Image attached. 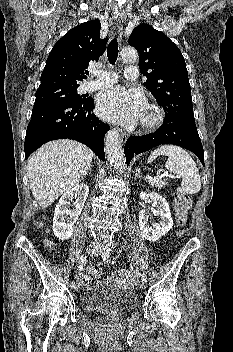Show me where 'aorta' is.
<instances>
[{
  "label": "aorta",
  "mask_w": 233,
  "mask_h": 352,
  "mask_svg": "<svg viewBox=\"0 0 233 352\" xmlns=\"http://www.w3.org/2000/svg\"><path fill=\"white\" fill-rule=\"evenodd\" d=\"M121 58L124 61L134 62L138 59V53L134 48H124L121 51ZM104 144L110 163L121 171L125 167L126 160L124 157L119 132L115 129L108 131Z\"/></svg>",
  "instance_id": "1"
}]
</instances>
